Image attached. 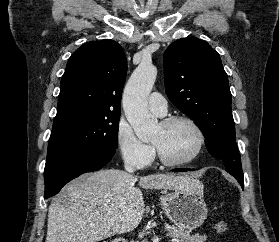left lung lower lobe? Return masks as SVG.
<instances>
[{
  "label": "left lung lower lobe",
  "instance_id": "left-lung-lower-lobe-1",
  "mask_svg": "<svg viewBox=\"0 0 279 242\" xmlns=\"http://www.w3.org/2000/svg\"><path fill=\"white\" fill-rule=\"evenodd\" d=\"M191 169L189 168H178V169H174L172 171H190ZM236 180L240 183L242 189L244 188V179H240L238 177H235Z\"/></svg>",
  "mask_w": 279,
  "mask_h": 242
}]
</instances>
